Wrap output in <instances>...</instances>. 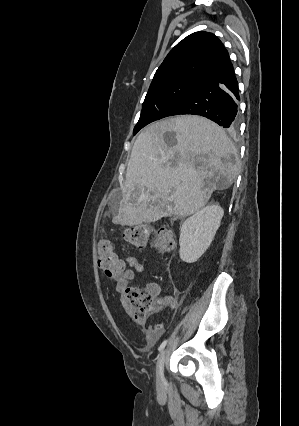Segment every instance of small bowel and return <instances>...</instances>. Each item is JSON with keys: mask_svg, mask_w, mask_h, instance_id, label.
<instances>
[{"mask_svg": "<svg viewBox=\"0 0 299 426\" xmlns=\"http://www.w3.org/2000/svg\"><path fill=\"white\" fill-rule=\"evenodd\" d=\"M122 263L127 264L129 268L124 270L113 277H108L109 281L115 284V291L119 296L122 303L125 304V310L127 314L133 315L131 307L126 305L127 300V289L129 283L134 279L135 273H144V265L134 256H127L121 259ZM148 289L156 296L160 292V288L157 284H150ZM164 333V325L162 323L151 326L148 328L146 333L148 345L155 343Z\"/></svg>", "mask_w": 299, "mask_h": 426, "instance_id": "c3829d8e", "label": "small bowel"}]
</instances>
